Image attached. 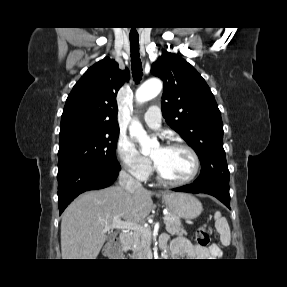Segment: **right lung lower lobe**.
Here are the masks:
<instances>
[{
	"instance_id": "98d812e1",
	"label": "right lung lower lobe",
	"mask_w": 287,
	"mask_h": 287,
	"mask_svg": "<svg viewBox=\"0 0 287 287\" xmlns=\"http://www.w3.org/2000/svg\"><path fill=\"white\" fill-rule=\"evenodd\" d=\"M118 171L101 167L77 165L58 172V206L60 214L79 194L110 186Z\"/></svg>"
}]
</instances>
